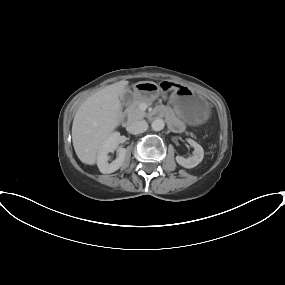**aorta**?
Wrapping results in <instances>:
<instances>
[{
    "mask_svg": "<svg viewBox=\"0 0 285 285\" xmlns=\"http://www.w3.org/2000/svg\"><path fill=\"white\" fill-rule=\"evenodd\" d=\"M165 126V123L162 119H156L151 123V127L154 131H161Z\"/></svg>",
    "mask_w": 285,
    "mask_h": 285,
    "instance_id": "obj_1",
    "label": "aorta"
}]
</instances>
